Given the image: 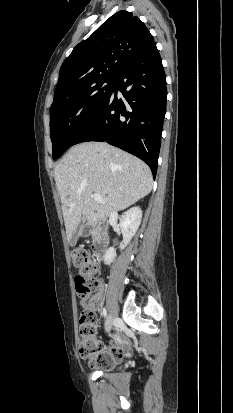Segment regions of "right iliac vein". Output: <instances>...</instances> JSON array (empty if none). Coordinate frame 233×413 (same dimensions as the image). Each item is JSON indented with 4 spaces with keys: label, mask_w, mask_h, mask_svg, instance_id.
<instances>
[{
    "label": "right iliac vein",
    "mask_w": 233,
    "mask_h": 413,
    "mask_svg": "<svg viewBox=\"0 0 233 413\" xmlns=\"http://www.w3.org/2000/svg\"><path fill=\"white\" fill-rule=\"evenodd\" d=\"M112 325H113V318L112 316H108L105 322L106 332H109L112 329Z\"/></svg>",
    "instance_id": "obj_1"
}]
</instances>
